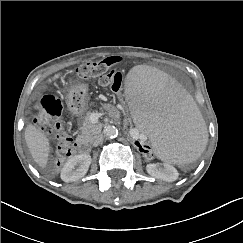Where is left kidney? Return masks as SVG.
I'll list each match as a JSON object with an SVG mask.
<instances>
[{"instance_id": "left-kidney-1", "label": "left kidney", "mask_w": 243, "mask_h": 243, "mask_svg": "<svg viewBox=\"0 0 243 243\" xmlns=\"http://www.w3.org/2000/svg\"><path fill=\"white\" fill-rule=\"evenodd\" d=\"M163 166L164 168H161L159 164H148L146 170L152 177L166 182H173L178 179L179 173L174 166L170 163H164Z\"/></svg>"}]
</instances>
